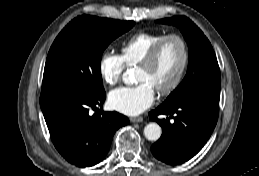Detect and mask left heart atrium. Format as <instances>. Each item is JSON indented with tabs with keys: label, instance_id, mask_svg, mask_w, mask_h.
Segmentation results:
<instances>
[{
	"label": "left heart atrium",
	"instance_id": "obj_1",
	"mask_svg": "<svg viewBox=\"0 0 259 176\" xmlns=\"http://www.w3.org/2000/svg\"><path fill=\"white\" fill-rule=\"evenodd\" d=\"M154 99L155 89L147 82L114 89L108 96L111 108L127 115L142 113L152 105Z\"/></svg>",
	"mask_w": 259,
	"mask_h": 176
}]
</instances>
